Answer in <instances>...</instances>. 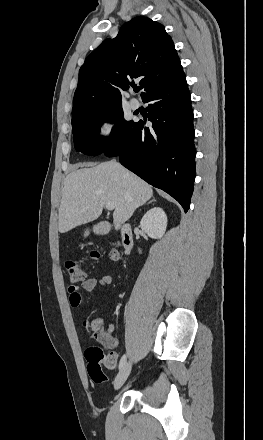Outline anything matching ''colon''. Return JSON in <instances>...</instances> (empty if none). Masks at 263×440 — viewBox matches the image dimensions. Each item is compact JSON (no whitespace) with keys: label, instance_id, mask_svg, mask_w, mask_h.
Instances as JSON below:
<instances>
[{"label":"colon","instance_id":"1","mask_svg":"<svg viewBox=\"0 0 263 440\" xmlns=\"http://www.w3.org/2000/svg\"><path fill=\"white\" fill-rule=\"evenodd\" d=\"M88 255L91 259H98L101 255V251L97 249H92L89 251ZM110 256L114 260L119 259V253L115 249H112L110 251ZM65 271L72 284L82 282L87 277V271L85 267L76 260H68L65 263ZM86 329L96 339L100 337L99 333L91 327L90 323H86ZM85 358L87 361L88 374L91 379L97 383H102L106 380V375L103 369L104 367L113 370L117 365V355L114 352L105 355L102 349L97 345H89L86 348Z\"/></svg>","mask_w":263,"mask_h":440}]
</instances>
